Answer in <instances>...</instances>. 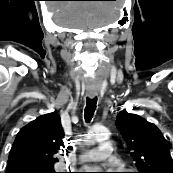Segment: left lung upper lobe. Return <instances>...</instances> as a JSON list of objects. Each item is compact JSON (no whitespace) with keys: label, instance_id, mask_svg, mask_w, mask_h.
I'll list each match as a JSON object with an SVG mask.
<instances>
[{"label":"left lung upper lobe","instance_id":"5c2ea615","mask_svg":"<svg viewBox=\"0 0 173 173\" xmlns=\"http://www.w3.org/2000/svg\"><path fill=\"white\" fill-rule=\"evenodd\" d=\"M116 126L135 161L137 173H173L169 144L154 124L124 110L117 115Z\"/></svg>","mask_w":173,"mask_h":173}]
</instances>
